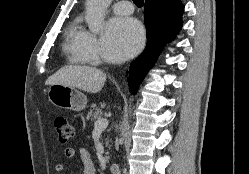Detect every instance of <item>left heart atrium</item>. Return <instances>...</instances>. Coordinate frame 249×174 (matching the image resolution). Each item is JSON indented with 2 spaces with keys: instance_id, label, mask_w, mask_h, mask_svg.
<instances>
[{
  "instance_id": "1",
  "label": "left heart atrium",
  "mask_w": 249,
  "mask_h": 174,
  "mask_svg": "<svg viewBox=\"0 0 249 174\" xmlns=\"http://www.w3.org/2000/svg\"><path fill=\"white\" fill-rule=\"evenodd\" d=\"M144 42V31L134 18L117 17L107 24L103 40L106 59L113 62L124 61L135 55Z\"/></svg>"
}]
</instances>
